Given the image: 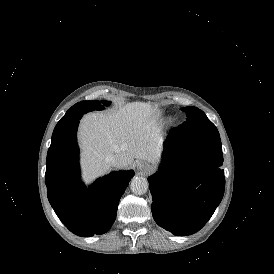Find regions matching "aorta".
Segmentation results:
<instances>
[{"instance_id":"1","label":"aorta","mask_w":274,"mask_h":274,"mask_svg":"<svg viewBox=\"0 0 274 274\" xmlns=\"http://www.w3.org/2000/svg\"><path fill=\"white\" fill-rule=\"evenodd\" d=\"M149 184L146 178L135 177L131 181V191L136 195H143L147 192Z\"/></svg>"}]
</instances>
